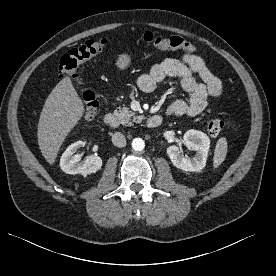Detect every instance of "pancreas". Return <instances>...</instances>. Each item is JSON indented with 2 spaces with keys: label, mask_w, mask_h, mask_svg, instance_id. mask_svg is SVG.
<instances>
[{
  "label": "pancreas",
  "mask_w": 276,
  "mask_h": 276,
  "mask_svg": "<svg viewBox=\"0 0 276 276\" xmlns=\"http://www.w3.org/2000/svg\"><path fill=\"white\" fill-rule=\"evenodd\" d=\"M114 115L121 121L122 124H131V120L135 123H140L143 116H136L135 113L129 110L128 107H123L114 111Z\"/></svg>",
  "instance_id": "cf45deb5"
}]
</instances>
